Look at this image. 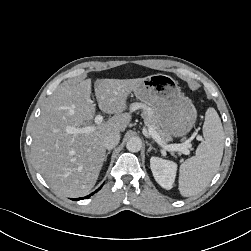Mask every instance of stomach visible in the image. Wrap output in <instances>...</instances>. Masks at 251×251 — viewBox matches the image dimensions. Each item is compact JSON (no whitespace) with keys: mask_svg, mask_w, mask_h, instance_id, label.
Masks as SVG:
<instances>
[{"mask_svg":"<svg viewBox=\"0 0 251 251\" xmlns=\"http://www.w3.org/2000/svg\"><path fill=\"white\" fill-rule=\"evenodd\" d=\"M133 92L137 99L154 110L161 129L170 136L183 137L193 128L196 108L172 77L164 74L148 76Z\"/></svg>","mask_w":251,"mask_h":251,"instance_id":"obj_1","label":"stomach"}]
</instances>
